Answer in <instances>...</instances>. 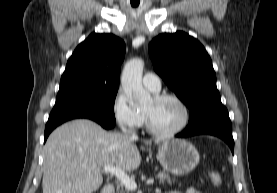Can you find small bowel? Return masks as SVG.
<instances>
[{
	"instance_id": "1",
	"label": "small bowel",
	"mask_w": 277,
	"mask_h": 193,
	"mask_svg": "<svg viewBox=\"0 0 277 193\" xmlns=\"http://www.w3.org/2000/svg\"><path fill=\"white\" fill-rule=\"evenodd\" d=\"M165 193H202L200 192L199 190L193 188V187H190L188 188L185 192H180V191H168V192H165Z\"/></svg>"
}]
</instances>
